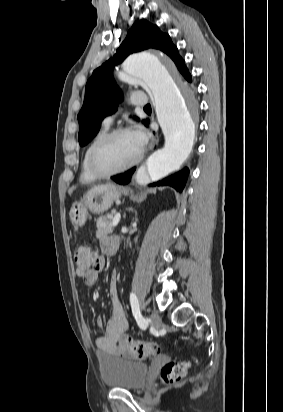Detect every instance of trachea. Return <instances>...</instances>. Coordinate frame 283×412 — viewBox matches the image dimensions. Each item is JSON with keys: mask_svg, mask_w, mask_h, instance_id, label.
<instances>
[{"mask_svg": "<svg viewBox=\"0 0 283 412\" xmlns=\"http://www.w3.org/2000/svg\"><path fill=\"white\" fill-rule=\"evenodd\" d=\"M150 109H151L150 104H148V105H146V106L144 107V110H150Z\"/></svg>", "mask_w": 283, "mask_h": 412, "instance_id": "trachea-1", "label": "trachea"}]
</instances>
